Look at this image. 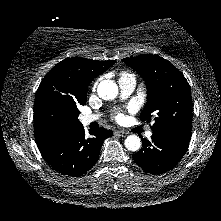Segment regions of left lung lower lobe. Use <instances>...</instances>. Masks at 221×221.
I'll return each mask as SVG.
<instances>
[{"label": "left lung lower lobe", "instance_id": "obj_1", "mask_svg": "<svg viewBox=\"0 0 221 221\" xmlns=\"http://www.w3.org/2000/svg\"><path fill=\"white\" fill-rule=\"evenodd\" d=\"M189 142L153 133L151 141L142 139V148L133 155L134 162L150 174L173 169L185 155Z\"/></svg>", "mask_w": 221, "mask_h": 221}]
</instances>
